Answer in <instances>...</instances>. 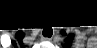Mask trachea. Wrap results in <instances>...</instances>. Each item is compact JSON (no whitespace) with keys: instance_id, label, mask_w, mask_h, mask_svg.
Listing matches in <instances>:
<instances>
[{"instance_id":"1","label":"trachea","mask_w":97,"mask_h":48,"mask_svg":"<svg viewBox=\"0 0 97 48\" xmlns=\"http://www.w3.org/2000/svg\"><path fill=\"white\" fill-rule=\"evenodd\" d=\"M53 34V30L51 27H46L44 30H43V35L45 37H51Z\"/></svg>"}]
</instances>
